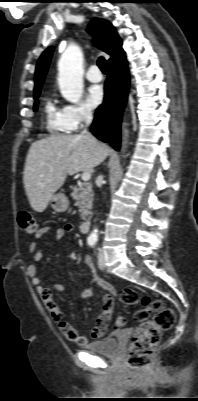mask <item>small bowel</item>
I'll use <instances>...</instances> for the list:
<instances>
[{
  "label": "small bowel",
  "mask_w": 198,
  "mask_h": 401,
  "mask_svg": "<svg viewBox=\"0 0 198 401\" xmlns=\"http://www.w3.org/2000/svg\"><path fill=\"white\" fill-rule=\"evenodd\" d=\"M74 226L72 224H66L63 227H54V226H43L38 229L35 240H33L29 245V252L32 256L34 261H39L42 259V253L37 247V242L47 233L52 232L54 238L57 241L62 240L68 233L73 232ZM85 263L93 270V275L89 280L90 287L84 291H82L77 297L76 300H86L90 298L92 295V288L93 287H100L107 291L108 293L103 296L102 298V312L99 315L96 324L92 328L90 337L85 335H81L78 330L73 327L72 325L63 321V314L62 311L58 308L55 304L53 293L50 289L45 288L42 285V280L40 276L37 274V270L35 265L31 264L27 267V273L30 276V279L33 285L36 287L37 292L40 294L44 304L46 305L47 309L53 320L60 324V331L62 335L67 338L68 340L74 341L79 345L83 346L89 342V339H99L103 337L107 331V326L111 320L113 308H114V299L112 294L114 293L113 286L102 279L94 270V266L92 260L89 256H85L84 258ZM55 289L63 293L65 291V287L61 283L55 284Z\"/></svg>",
  "instance_id": "1"
}]
</instances>
